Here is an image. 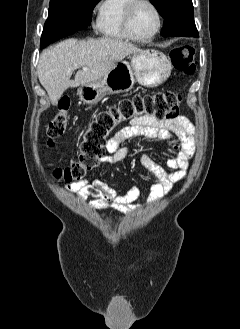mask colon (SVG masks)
<instances>
[{"label": "colon", "mask_w": 240, "mask_h": 329, "mask_svg": "<svg viewBox=\"0 0 240 329\" xmlns=\"http://www.w3.org/2000/svg\"><path fill=\"white\" fill-rule=\"evenodd\" d=\"M170 60L178 72L191 74L195 71V49L192 46L174 48L170 53ZM180 104L181 97L178 93L161 91L124 99L117 105L99 112L78 144L77 158L69 165L56 169L54 176L66 183L80 180L87 171L97 166L104 154L106 139L117 125L145 116L160 120L175 119L179 115ZM69 107L68 98L59 101L58 114L50 121L47 129L49 146H53L55 140L64 134Z\"/></svg>", "instance_id": "obj_1"}]
</instances>
